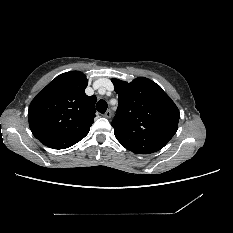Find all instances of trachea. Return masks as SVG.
Listing matches in <instances>:
<instances>
[{"label":"trachea","mask_w":233,"mask_h":233,"mask_svg":"<svg viewBox=\"0 0 233 233\" xmlns=\"http://www.w3.org/2000/svg\"><path fill=\"white\" fill-rule=\"evenodd\" d=\"M96 109L100 113H105L107 110V102L105 100H99L96 104Z\"/></svg>","instance_id":"1"}]
</instances>
